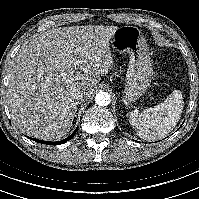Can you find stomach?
I'll use <instances>...</instances> for the list:
<instances>
[{
	"label": "stomach",
	"mask_w": 199,
	"mask_h": 199,
	"mask_svg": "<svg viewBox=\"0 0 199 199\" xmlns=\"http://www.w3.org/2000/svg\"><path fill=\"white\" fill-rule=\"evenodd\" d=\"M111 47L114 51L129 55L127 81L122 93L128 102H135L150 86L153 74L152 60L145 38L137 27L122 26L115 32Z\"/></svg>",
	"instance_id": "1"
}]
</instances>
